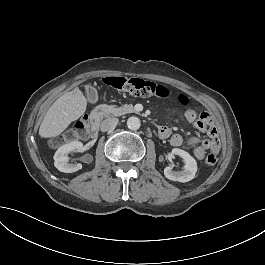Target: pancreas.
<instances>
[{"label": "pancreas", "instance_id": "1", "mask_svg": "<svg viewBox=\"0 0 265 265\" xmlns=\"http://www.w3.org/2000/svg\"><path fill=\"white\" fill-rule=\"evenodd\" d=\"M107 112L113 116H121L127 113H135L136 111L133 104H124L121 107L107 105Z\"/></svg>", "mask_w": 265, "mask_h": 265}]
</instances>
